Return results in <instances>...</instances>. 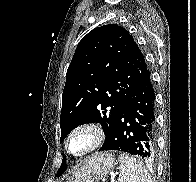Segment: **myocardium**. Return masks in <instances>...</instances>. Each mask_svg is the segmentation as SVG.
Segmentation results:
<instances>
[{"mask_svg":"<svg viewBox=\"0 0 196 182\" xmlns=\"http://www.w3.org/2000/svg\"><path fill=\"white\" fill-rule=\"evenodd\" d=\"M79 134H86L89 137V144L83 151L74 153L70 148V142L73 137ZM104 139L105 131L99 123L94 121H85L77 124L69 131L66 136L64 146L68 154L75 158H81L98 149L102 145Z\"/></svg>","mask_w":196,"mask_h":182,"instance_id":"f54148a6","label":"myocardium"}]
</instances>
